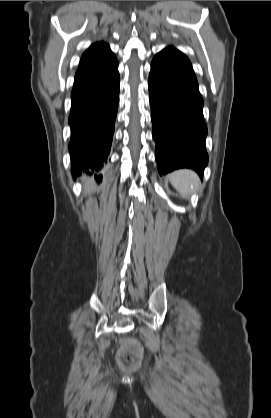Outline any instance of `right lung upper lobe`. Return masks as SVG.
Listing matches in <instances>:
<instances>
[{
  "label": "right lung upper lobe",
  "mask_w": 271,
  "mask_h": 418,
  "mask_svg": "<svg viewBox=\"0 0 271 418\" xmlns=\"http://www.w3.org/2000/svg\"><path fill=\"white\" fill-rule=\"evenodd\" d=\"M113 60H115V55L107 43L92 44L81 57L74 83L86 78Z\"/></svg>",
  "instance_id": "cb5924a9"
}]
</instances>
